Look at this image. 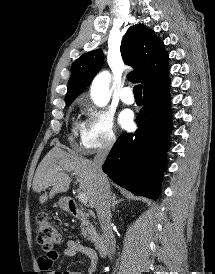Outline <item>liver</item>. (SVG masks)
Segmentation results:
<instances>
[{"label":"liver","mask_w":215,"mask_h":274,"mask_svg":"<svg viewBox=\"0 0 215 274\" xmlns=\"http://www.w3.org/2000/svg\"><path fill=\"white\" fill-rule=\"evenodd\" d=\"M92 163L82 156L67 153L60 147L52 148L40 162L33 179L34 192L40 193L52 186L49 194L45 192L40 196V203H45L58 193L67 192L72 181L68 173H72L79 178V188L86 194L89 206L94 208L98 184Z\"/></svg>","instance_id":"6515ba94"}]
</instances>
